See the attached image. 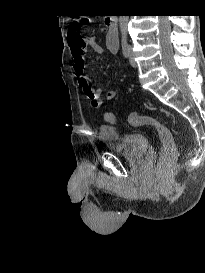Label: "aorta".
<instances>
[{
  "label": "aorta",
  "mask_w": 205,
  "mask_h": 273,
  "mask_svg": "<svg viewBox=\"0 0 205 273\" xmlns=\"http://www.w3.org/2000/svg\"><path fill=\"white\" fill-rule=\"evenodd\" d=\"M128 22H129V16H119V28H120L122 40L127 39Z\"/></svg>",
  "instance_id": "1"
}]
</instances>
